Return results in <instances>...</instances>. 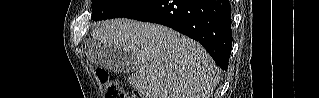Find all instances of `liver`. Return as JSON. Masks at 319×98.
Wrapping results in <instances>:
<instances>
[{
    "mask_svg": "<svg viewBox=\"0 0 319 98\" xmlns=\"http://www.w3.org/2000/svg\"><path fill=\"white\" fill-rule=\"evenodd\" d=\"M91 37L95 45L133 56L128 82L142 98H210L219 82V68L206 50L166 26L118 18L101 23Z\"/></svg>",
    "mask_w": 319,
    "mask_h": 98,
    "instance_id": "liver-1",
    "label": "liver"
}]
</instances>
